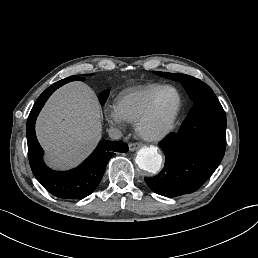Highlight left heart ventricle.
Instances as JSON below:
<instances>
[{
    "label": "left heart ventricle",
    "mask_w": 258,
    "mask_h": 258,
    "mask_svg": "<svg viewBox=\"0 0 258 258\" xmlns=\"http://www.w3.org/2000/svg\"><path fill=\"white\" fill-rule=\"evenodd\" d=\"M176 107V96L172 91L161 93L152 110V113L143 121L142 131L149 135L160 133L169 123Z\"/></svg>",
    "instance_id": "obj_1"
}]
</instances>
